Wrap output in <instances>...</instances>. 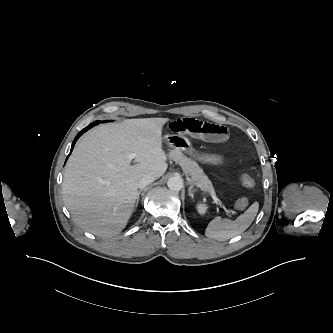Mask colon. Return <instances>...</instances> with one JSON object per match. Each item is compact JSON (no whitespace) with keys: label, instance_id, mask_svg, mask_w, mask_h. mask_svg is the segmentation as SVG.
Returning a JSON list of instances; mask_svg holds the SVG:
<instances>
[{"label":"colon","instance_id":"5ec220e1","mask_svg":"<svg viewBox=\"0 0 333 333\" xmlns=\"http://www.w3.org/2000/svg\"><path fill=\"white\" fill-rule=\"evenodd\" d=\"M240 183L245 188H253L256 184L254 178H252L249 175H242L240 177ZM247 205H248V200L243 197V198H240L236 201L235 208L237 210H243L247 207Z\"/></svg>","mask_w":333,"mask_h":333}]
</instances>
